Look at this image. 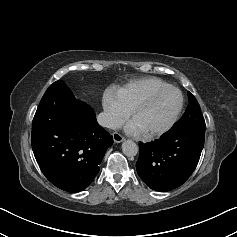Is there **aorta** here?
<instances>
[{"instance_id":"aorta-1","label":"aorta","mask_w":237,"mask_h":237,"mask_svg":"<svg viewBox=\"0 0 237 237\" xmlns=\"http://www.w3.org/2000/svg\"><path fill=\"white\" fill-rule=\"evenodd\" d=\"M122 151L127 157H133L137 155L139 148L132 140H126L122 143Z\"/></svg>"}]
</instances>
